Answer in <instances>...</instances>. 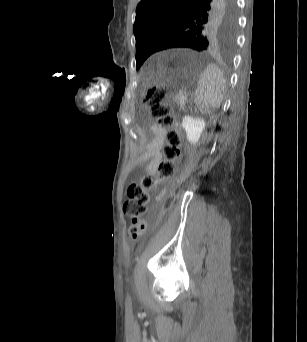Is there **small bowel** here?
I'll return each instance as SVG.
<instances>
[{"label":"small bowel","mask_w":307,"mask_h":342,"mask_svg":"<svg viewBox=\"0 0 307 342\" xmlns=\"http://www.w3.org/2000/svg\"><path fill=\"white\" fill-rule=\"evenodd\" d=\"M150 131L153 138L146 142L145 151L138 157L136 165L141 166L148 162L146 172L153 175L156 172L157 164L162 160L161 149L165 143L166 130L157 123H152Z\"/></svg>","instance_id":"small-bowel-1"}]
</instances>
